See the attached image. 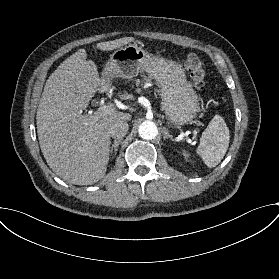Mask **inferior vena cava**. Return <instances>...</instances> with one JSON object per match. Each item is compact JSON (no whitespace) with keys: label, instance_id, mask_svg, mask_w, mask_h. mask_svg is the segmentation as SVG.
Returning <instances> with one entry per match:
<instances>
[{"label":"inferior vena cava","instance_id":"1","mask_svg":"<svg viewBox=\"0 0 279 279\" xmlns=\"http://www.w3.org/2000/svg\"><path fill=\"white\" fill-rule=\"evenodd\" d=\"M128 129L129 125L127 122H117L110 127L108 134L111 138L123 139L127 135Z\"/></svg>","mask_w":279,"mask_h":279}]
</instances>
